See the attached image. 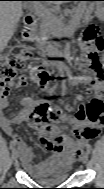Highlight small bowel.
I'll return each mask as SVG.
<instances>
[{"mask_svg": "<svg viewBox=\"0 0 104 189\" xmlns=\"http://www.w3.org/2000/svg\"><path fill=\"white\" fill-rule=\"evenodd\" d=\"M62 68L60 73H63ZM97 75V74H96ZM94 74H82L72 78L75 85H87L86 91L95 96L89 103L94 100L101 101L103 83ZM30 77L33 80L39 79L38 70L32 68ZM40 80V79H39ZM21 82H26V77H21ZM46 84V83H43ZM102 102V101H101ZM88 104V103H87ZM87 104H80L76 107L69 119L73 123V130L70 136L63 133L59 126L55 124L57 116L53 111L51 104L47 101H37L30 96L22 98L20 110L14 118H9L5 114V109L9 105V96H3L0 99V125L6 135L11 138L13 144L19 152L24 168L33 175H44L45 172L53 167L69 169L73 162L80 157L82 150L87 143L95 138L103 125V116L99 118L90 117ZM44 107L46 110L43 114H38V108ZM40 121L42 124L49 126L53 130V143H46L42 140L45 148L52 153V157L39 164H33L32 149L24 140L14 132V124L29 123L35 127V122ZM83 132L84 134H80Z\"/></svg>", "mask_w": 104, "mask_h": 189, "instance_id": "obj_1", "label": "small bowel"}]
</instances>
